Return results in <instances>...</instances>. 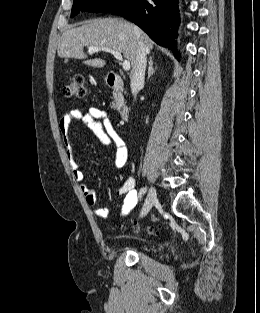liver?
Listing matches in <instances>:
<instances>
[{
    "label": "liver",
    "mask_w": 260,
    "mask_h": 313,
    "mask_svg": "<svg viewBox=\"0 0 260 313\" xmlns=\"http://www.w3.org/2000/svg\"><path fill=\"white\" fill-rule=\"evenodd\" d=\"M141 41L147 53L153 48V41L146 33L120 18L93 19L81 26L66 30L58 44V56L61 58L86 59L83 49L86 46L107 47L123 53L131 64L133 74L136 55ZM84 64L102 68L106 61L100 58L87 59Z\"/></svg>",
    "instance_id": "obj_1"
}]
</instances>
